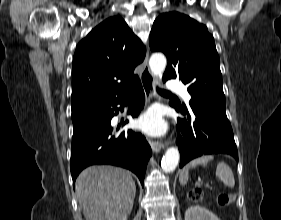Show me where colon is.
<instances>
[{
	"label": "colon",
	"instance_id": "obj_1",
	"mask_svg": "<svg viewBox=\"0 0 281 220\" xmlns=\"http://www.w3.org/2000/svg\"><path fill=\"white\" fill-rule=\"evenodd\" d=\"M189 197L194 201H199L202 199L203 194L201 191L193 190L189 193ZM236 196L234 194H220L217 197V203L221 206H226L235 200Z\"/></svg>",
	"mask_w": 281,
	"mask_h": 220
}]
</instances>
